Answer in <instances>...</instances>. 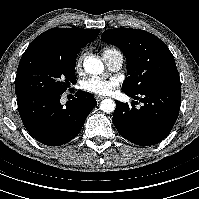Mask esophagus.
I'll return each mask as SVG.
<instances>
[{
  "instance_id": "esophagus-1",
  "label": "esophagus",
  "mask_w": 199,
  "mask_h": 199,
  "mask_svg": "<svg viewBox=\"0 0 199 199\" xmlns=\"http://www.w3.org/2000/svg\"><path fill=\"white\" fill-rule=\"evenodd\" d=\"M95 98H96L97 102H100L103 99L102 96H98V95H96Z\"/></svg>"
}]
</instances>
